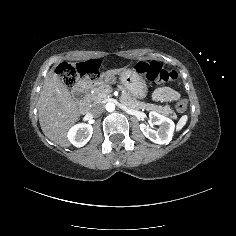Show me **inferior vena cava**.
I'll use <instances>...</instances> for the list:
<instances>
[{
	"instance_id": "inferior-vena-cava-1",
	"label": "inferior vena cava",
	"mask_w": 236,
	"mask_h": 236,
	"mask_svg": "<svg viewBox=\"0 0 236 236\" xmlns=\"http://www.w3.org/2000/svg\"><path fill=\"white\" fill-rule=\"evenodd\" d=\"M103 109H104L103 104L98 103L94 104L90 111L92 115H98L103 111Z\"/></svg>"
}]
</instances>
